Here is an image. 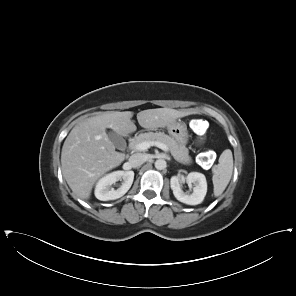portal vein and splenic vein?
I'll return each mask as SVG.
<instances>
[{"instance_id":"18ae733b","label":"portal vein and splenic vein","mask_w":296,"mask_h":296,"mask_svg":"<svg viewBox=\"0 0 296 296\" xmlns=\"http://www.w3.org/2000/svg\"><path fill=\"white\" fill-rule=\"evenodd\" d=\"M151 146H157L158 148L162 149L165 152L169 151L168 147L165 144L158 141H144L142 143L137 144L135 148L138 151H144L150 148Z\"/></svg>"}]
</instances>
